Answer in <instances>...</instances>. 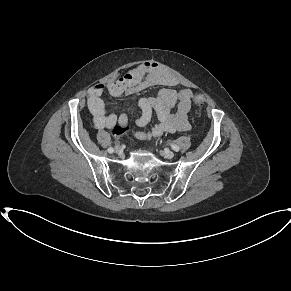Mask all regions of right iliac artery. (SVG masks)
<instances>
[{"instance_id": "right-iliac-artery-1", "label": "right iliac artery", "mask_w": 291, "mask_h": 291, "mask_svg": "<svg viewBox=\"0 0 291 291\" xmlns=\"http://www.w3.org/2000/svg\"><path fill=\"white\" fill-rule=\"evenodd\" d=\"M114 151H115V148L110 147V148L108 149V152H109V153H113Z\"/></svg>"}]
</instances>
